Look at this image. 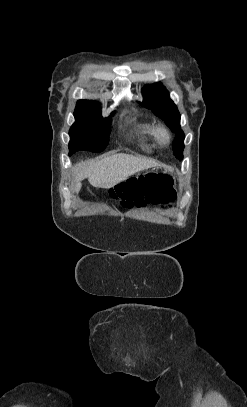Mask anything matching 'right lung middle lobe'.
Masks as SVG:
<instances>
[{
	"instance_id": "1",
	"label": "right lung middle lobe",
	"mask_w": 247,
	"mask_h": 407,
	"mask_svg": "<svg viewBox=\"0 0 247 407\" xmlns=\"http://www.w3.org/2000/svg\"><path fill=\"white\" fill-rule=\"evenodd\" d=\"M74 117L76 121L69 131V155L80 150L103 151L109 142L111 117L103 118L99 105L76 107Z\"/></svg>"
}]
</instances>
